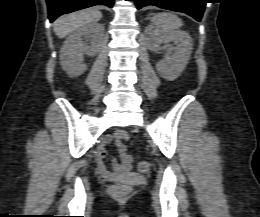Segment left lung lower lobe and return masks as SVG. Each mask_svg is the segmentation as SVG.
Masks as SVG:
<instances>
[{
    "instance_id": "1",
    "label": "left lung lower lobe",
    "mask_w": 260,
    "mask_h": 217,
    "mask_svg": "<svg viewBox=\"0 0 260 217\" xmlns=\"http://www.w3.org/2000/svg\"><path fill=\"white\" fill-rule=\"evenodd\" d=\"M137 9L154 5L163 9L183 12L200 21L205 9L206 0H132Z\"/></svg>"
}]
</instances>
